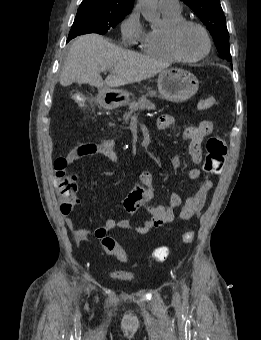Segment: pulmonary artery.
Listing matches in <instances>:
<instances>
[{
    "label": "pulmonary artery",
    "mask_w": 261,
    "mask_h": 340,
    "mask_svg": "<svg viewBox=\"0 0 261 340\" xmlns=\"http://www.w3.org/2000/svg\"><path fill=\"white\" fill-rule=\"evenodd\" d=\"M159 7L161 10L173 13H179L182 10L179 0H159Z\"/></svg>",
    "instance_id": "1"
}]
</instances>
